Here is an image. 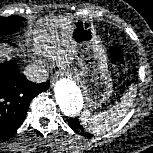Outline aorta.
<instances>
[{"instance_id": "762f6f07", "label": "aorta", "mask_w": 153, "mask_h": 153, "mask_svg": "<svg viewBox=\"0 0 153 153\" xmlns=\"http://www.w3.org/2000/svg\"><path fill=\"white\" fill-rule=\"evenodd\" d=\"M55 98L61 111L73 117L83 107L82 93L76 84L68 79H61L55 85Z\"/></svg>"}]
</instances>
